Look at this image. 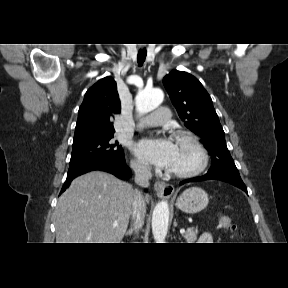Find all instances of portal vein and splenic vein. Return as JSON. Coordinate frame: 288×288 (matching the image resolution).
<instances>
[{
    "mask_svg": "<svg viewBox=\"0 0 288 288\" xmlns=\"http://www.w3.org/2000/svg\"><path fill=\"white\" fill-rule=\"evenodd\" d=\"M113 226L116 227V226H117V223H114ZM180 233H181V234H184V233H185V230H184V229H181V230H180Z\"/></svg>",
    "mask_w": 288,
    "mask_h": 288,
    "instance_id": "portal-vein-and-splenic-vein-1",
    "label": "portal vein and splenic vein"
}]
</instances>
